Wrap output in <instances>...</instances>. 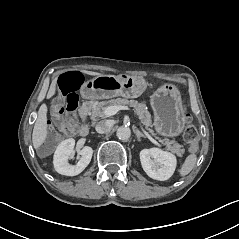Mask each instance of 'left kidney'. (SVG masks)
<instances>
[{
    "label": "left kidney",
    "instance_id": "obj_1",
    "mask_svg": "<svg viewBox=\"0 0 239 239\" xmlns=\"http://www.w3.org/2000/svg\"><path fill=\"white\" fill-rule=\"evenodd\" d=\"M143 170L152 179L164 181L169 179L176 168V157L159 148L143 149L140 152Z\"/></svg>",
    "mask_w": 239,
    "mask_h": 239
}]
</instances>
